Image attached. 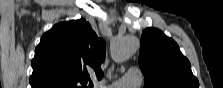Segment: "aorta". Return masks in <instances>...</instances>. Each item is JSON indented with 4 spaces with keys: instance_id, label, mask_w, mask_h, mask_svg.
<instances>
[{
    "instance_id": "aorta-1",
    "label": "aorta",
    "mask_w": 223,
    "mask_h": 88,
    "mask_svg": "<svg viewBox=\"0 0 223 88\" xmlns=\"http://www.w3.org/2000/svg\"><path fill=\"white\" fill-rule=\"evenodd\" d=\"M139 47V41L134 36H124L118 39L112 48V58L117 63L129 59Z\"/></svg>"
}]
</instances>
